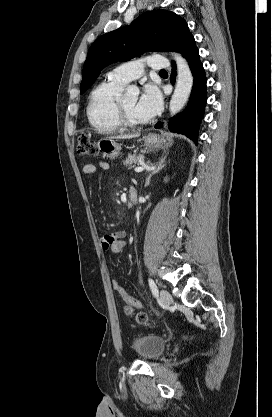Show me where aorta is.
<instances>
[{
  "label": "aorta",
  "mask_w": 272,
  "mask_h": 417,
  "mask_svg": "<svg viewBox=\"0 0 272 417\" xmlns=\"http://www.w3.org/2000/svg\"><path fill=\"white\" fill-rule=\"evenodd\" d=\"M172 56L177 65L178 75L176 88L170 100L169 111L171 114H176L184 107L189 98L193 85V76L185 58L177 53H172ZM138 95L139 89L137 87L127 88V97L137 98Z\"/></svg>",
  "instance_id": "aorta-1"
}]
</instances>
